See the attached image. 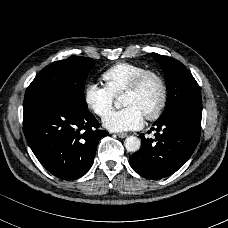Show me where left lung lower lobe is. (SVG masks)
Wrapping results in <instances>:
<instances>
[{
  "mask_svg": "<svg viewBox=\"0 0 228 228\" xmlns=\"http://www.w3.org/2000/svg\"><path fill=\"white\" fill-rule=\"evenodd\" d=\"M201 115L202 111L181 109L159 118L153 124L157 132L161 130L155 134L157 143L141 134V148L129 158L131 167L147 179H161L176 172L199 142Z\"/></svg>",
  "mask_w": 228,
  "mask_h": 228,
  "instance_id": "1",
  "label": "left lung lower lobe"
}]
</instances>
